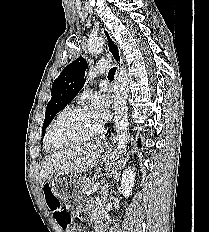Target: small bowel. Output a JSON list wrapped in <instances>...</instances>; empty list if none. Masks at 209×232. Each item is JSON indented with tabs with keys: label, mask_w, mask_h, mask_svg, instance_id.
Listing matches in <instances>:
<instances>
[{
	"label": "small bowel",
	"mask_w": 209,
	"mask_h": 232,
	"mask_svg": "<svg viewBox=\"0 0 209 232\" xmlns=\"http://www.w3.org/2000/svg\"><path fill=\"white\" fill-rule=\"evenodd\" d=\"M91 217L97 222L100 223L102 220V216L98 209L95 206L89 207ZM64 232H81V230L77 227H66L64 228Z\"/></svg>",
	"instance_id": "c3829d8e"
}]
</instances>
